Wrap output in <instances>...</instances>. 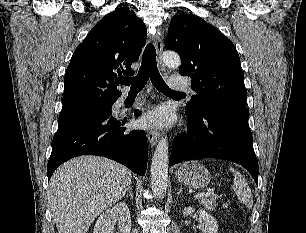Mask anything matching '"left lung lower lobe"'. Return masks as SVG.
Returning <instances> with one entry per match:
<instances>
[{
  "instance_id": "0a47b994",
  "label": "left lung lower lobe",
  "mask_w": 306,
  "mask_h": 233,
  "mask_svg": "<svg viewBox=\"0 0 306 233\" xmlns=\"http://www.w3.org/2000/svg\"><path fill=\"white\" fill-rule=\"evenodd\" d=\"M248 117V110L229 106L188 114V131L175 141L170 165L205 157L225 159L243 166L257 183L259 166Z\"/></svg>"
}]
</instances>
